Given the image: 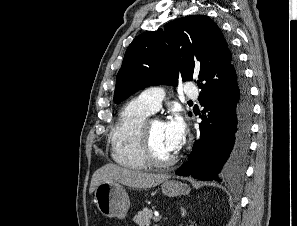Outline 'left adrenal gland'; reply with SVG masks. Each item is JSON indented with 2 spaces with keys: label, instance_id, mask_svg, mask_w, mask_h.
Masks as SVG:
<instances>
[{
  "label": "left adrenal gland",
  "instance_id": "1",
  "mask_svg": "<svg viewBox=\"0 0 297 226\" xmlns=\"http://www.w3.org/2000/svg\"><path fill=\"white\" fill-rule=\"evenodd\" d=\"M186 214H187V211L183 207H181V216L185 217Z\"/></svg>",
  "mask_w": 297,
  "mask_h": 226
}]
</instances>
